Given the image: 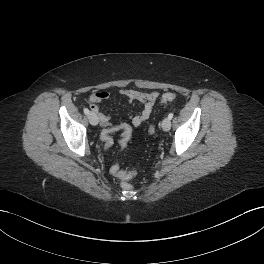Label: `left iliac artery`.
<instances>
[{
	"mask_svg": "<svg viewBox=\"0 0 264 264\" xmlns=\"http://www.w3.org/2000/svg\"><path fill=\"white\" fill-rule=\"evenodd\" d=\"M173 113H170L169 115H168V118L171 120L172 118H173Z\"/></svg>",
	"mask_w": 264,
	"mask_h": 264,
	"instance_id": "1",
	"label": "left iliac artery"
}]
</instances>
